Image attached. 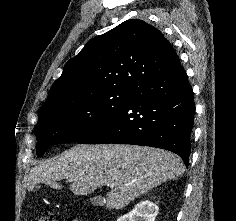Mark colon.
<instances>
[{
	"label": "colon",
	"instance_id": "5ec220e1",
	"mask_svg": "<svg viewBox=\"0 0 236 221\" xmlns=\"http://www.w3.org/2000/svg\"><path fill=\"white\" fill-rule=\"evenodd\" d=\"M33 221H56L55 216L51 212H47L44 215H42L40 218H37ZM67 221H79L77 218H69Z\"/></svg>",
	"mask_w": 236,
	"mask_h": 221
}]
</instances>
